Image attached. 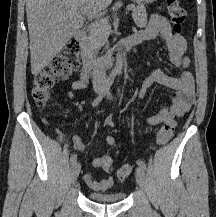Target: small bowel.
Instances as JSON below:
<instances>
[{
    "instance_id": "c3829d8e",
    "label": "small bowel",
    "mask_w": 216,
    "mask_h": 217,
    "mask_svg": "<svg viewBox=\"0 0 216 217\" xmlns=\"http://www.w3.org/2000/svg\"><path fill=\"white\" fill-rule=\"evenodd\" d=\"M138 35L141 36L142 41L160 38L167 47L171 63L181 70L178 77L168 75L161 70H155L143 81L139 90V97H142L154 84L168 87L174 91V94L170 98L171 105H163L155 115L148 119L149 125L157 126L161 123H167L173 121L175 118L184 116L191 108L195 99L194 77L189 70L190 58L187 54L186 40L179 33L174 32L168 20L160 14L154 15L148 26ZM88 82L89 75H82L80 73L78 80L72 83L71 90L67 92V96L73 99L72 90L84 88L87 86ZM72 141L77 150H85V145L78 135H74ZM114 144V137L107 136L105 138V145L107 147H111ZM107 160L112 161V158L103 153L93 160V166L103 168V164ZM83 178L89 187L98 191H106L113 185L112 178L95 179L91 173H85Z\"/></svg>"
}]
</instances>
